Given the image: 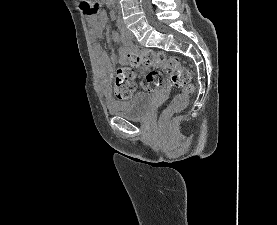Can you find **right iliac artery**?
Returning <instances> with one entry per match:
<instances>
[{"instance_id":"right-iliac-artery-1","label":"right iliac artery","mask_w":277,"mask_h":225,"mask_svg":"<svg viewBox=\"0 0 277 225\" xmlns=\"http://www.w3.org/2000/svg\"><path fill=\"white\" fill-rule=\"evenodd\" d=\"M120 37H121V40H122V42H123L124 44L129 45V44L131 43L130 38H128V37L125 36L124 34H121Z\"/></svg>"}]
</instances>
